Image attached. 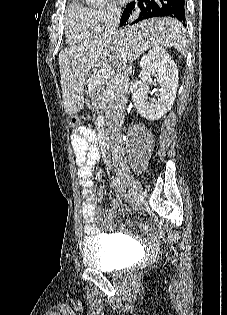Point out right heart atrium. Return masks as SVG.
Returning a JSON list of instances; mask_svg holds the SVG:
<instances>
[{"label":"right heart atrium","instance_id":"d8ad5b80","mask_svg":"<svg viewBox=\"0 0 227 315\" xmlns=\"http://www.w3.org/2000/svg\"><path fill=\"white\" fill-rule=\"evenodd\" d=\"M96 19L101 29L114 23L120 15L119 6L110 0L104 6L95 9Z\"/></svg>","mask_w":227,"mask_h":315}]
</instances>
